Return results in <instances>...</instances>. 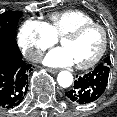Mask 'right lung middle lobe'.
Returning a JSON list of instances; mask_svg holds the SVG:
<instances>
[{
    "label": "right lung middle lobe",
    "instance_id": "obj_1",
    "mask_svg": "<svg viewBox=\"0 0 117 117\" xmlns=\"http://www.w3.org/2000/svg\"><path fill=\"white\" fill-rule=\"evenodd\" d=\"M22 12L6 11L0 14V38L15 40V33Z\"/></svg>",
    "mask_w": 117,
    "mask_h": 117
}]
</instances>
